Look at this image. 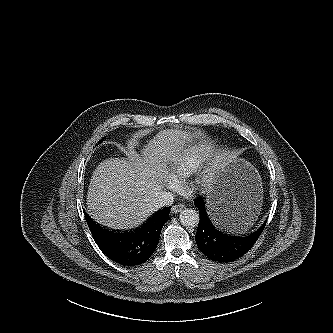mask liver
Instances as JSON below:
<instances>
[{"mask_svg":"<svg viewBox=\"0 0 333 333\" xmlns=\"http://www.w3.org/2000/svg\"><path fill=\"white\" fill-rule=\"evenodd\" d=\"M201 135L180 129L162 130L143 147L141 155L132 151L126 159L109 158L101 162L88 188L90 217L113 229L140 225L157 210L153 201L164 188L170 164L180 162L188 143Z\"/></svg>","mask_w":333,"mask_h":333,"instance_id":"liver-1","label":"liver"}]
</instances>
